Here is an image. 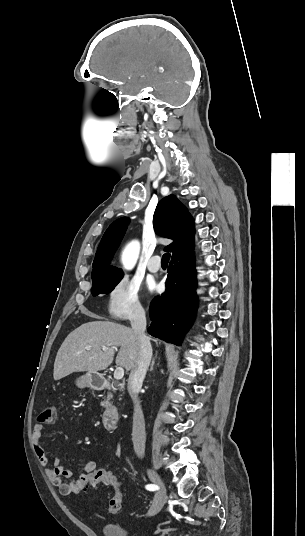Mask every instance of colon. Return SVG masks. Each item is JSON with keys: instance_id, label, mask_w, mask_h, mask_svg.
Returning a JSON list of instances; mask_svg holds the SVG:
<instances>
[{"instance_id": "1", "label": "colon", "mask_w": 305, "mask_h": 536, "mask_svg": "<svg viewBox=\"0 0 305 536\" xmlns=\"http://www.w3.org/2000/svg\"><path fill=\"white\" fill-rule=\"evenodd\" d=\"M56 415L57 407L54 405H50L47 406L43 411H38L36 414V419L38 422L49 423L56 418ZM109 474L110 471L106 467H103L101 469L94 468L92 470V475H88L86 477V489L92 491L95 489L96 486L101 485L102 483H104L105 485L113 483V480H116V477H112V480H109L108 478H106L109 476ZM112 485L113 495L109 500L108 510L111 513H118L122 507L124 496L122 489L117 481H115Z\"/></svg>"}]
</instances>
